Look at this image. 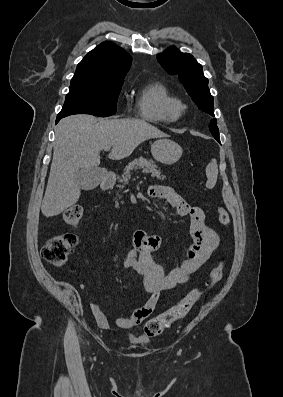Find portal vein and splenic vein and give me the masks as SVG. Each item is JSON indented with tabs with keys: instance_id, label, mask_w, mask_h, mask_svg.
<instances>
[{
	"instance_id": "portal-vein-and-splenic-vein-1",
	"label": "portal vein and splenic vein",
	"mask_w": 283,
	"mask_h": 397,
	"mask_svg": "<svg viewBox=\"0 0 283 397\" xmlns=\"http://www.w3.org/2000/svg\"><path fill=\"white\" fill-rule=\"evenodd\" d=\"M110 149H111V146L104 147V151H106V152L110 151Z\"/></svg>"
}]
</instances>
